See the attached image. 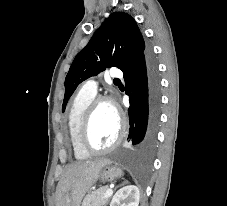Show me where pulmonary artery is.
<instances>
[{"instance_id":"1","label":"pulmonary artery","mask_w":227,"mask_h":206,"mask_svg":"<svg viewBox=\"0 0 227 206\" xmlns=\"http://www.w3.org/2000/svg\"><path fill=\"white\" fill-rule=\"evenodd\" d=\"M123 73L121 70L119 69H113L111 71V76L114 77V78H120L122 77ZM82 90L86 91V92H89V93H94L96 94L97 92V83L94 81V80H87L83 87H82Z\"/></svg>"}]
</instances>
